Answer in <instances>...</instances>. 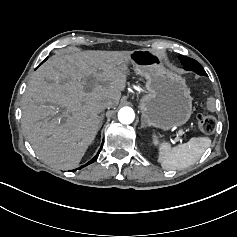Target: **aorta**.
<instances>
[{
	"label": "aorta",
	"mask_w": 237,
	"mask_h": 237,
	"mask_svg": "<svg viewBox=\"0 0 237 237\" xmlns=\"http://www.w3.org/2000/svg\"><path fill=\"white\" fill-rule=\"evenodd\" d=\"M134 118L135 113L130 107H123L118 112V119L122 124H130Z\"/></svg>",
	"instance_id": "obj_1"
}]
</instances>
